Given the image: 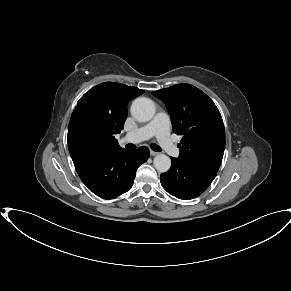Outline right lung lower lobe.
Instances as JSON below:
<instances>
[{"label": "right lung lower lobe", "instance_id": "98d812e1", "mask_svg": "<svg viewBox=\"0 0 291 291\" xmlns=\"http://www.w3.org/2000/svg\"><path fill=\"white\" fill-rule=\"evenodd\" d=\"M68 148L82 182L104 199L127 192L133 185L137 168L149 158L145 146L133 151L101 152L83 143L72 142L68 143Z\"/></svg>", "mask_w": 291, "mask_h": 291}]
</instances>
